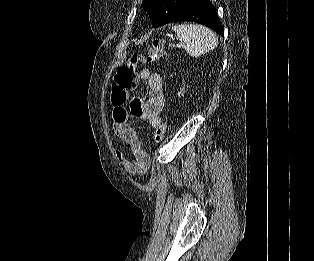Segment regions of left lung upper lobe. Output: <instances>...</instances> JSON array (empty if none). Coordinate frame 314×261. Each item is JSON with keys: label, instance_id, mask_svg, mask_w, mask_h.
I'll return each mask as SVG.
<instances>
[{"label": "left lung upper lobe", "instance_id": "1", "mask_svg": "<svg viewBox=\"0 0 314 261\" xmlns=\"http://www.w3.org/2000/svg\"><path fill=\"white\" fill-rule=\"evenodd\" d=\"M184 0H143L142 7L152 18L153 27L167 24Z\"/></svg>", "mask_w": 314, "mask_h": 261}]
</instances>
